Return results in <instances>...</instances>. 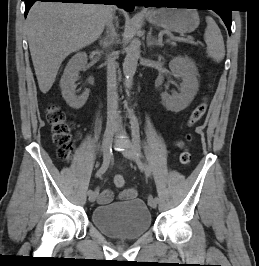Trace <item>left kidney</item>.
Wrapping results in <instances>:
<instances>
[{
    "instance_id": "5707ae66",
    "label": "left kidney",
    "mask_w": 259,
    "mask_h": 266,
    "mask_svg": "<svg viewBox=\"0 0 259 266\" xmlns=\"http://www.w3.org/2000/svg\"><path fill=\"white\" fill-rule=\"evenodd\" d=\"M169 68L176 78H181L179 93L168 94L166 91L161 94L164 106L172 112H180L194 99L199 89L197 80V67L189 57L177 56L169 63Z\"/></svg>"
}]
</instances>
